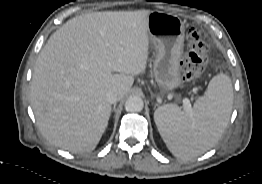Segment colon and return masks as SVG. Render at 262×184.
Segmentation results:
<instances>
[{
    "label": "colon",
    "mask_w": 262,
    "mask_h": 184,
    "mask_svg": "<svg viewBox=\"0 0 262 184\" xmlns=\"http://www.w3.org/2000/svg\"><path fill=\"white\" fill-rule=\"evenodd\" d=\"M208 45L197 30L188 34V52L181 67L183 79L187 82L199 80L207 66Z\"/></svg>",
    "instance_id": "5ec220e1"
}]
</instances>
